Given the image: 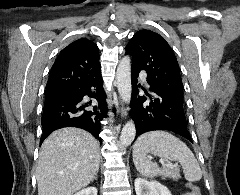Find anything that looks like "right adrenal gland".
<instances>
[{"mask_svg":"<svg viewBox=\"0 0 240 195\" xmlns=\"http://www.w3.org/2000/svg\"><path fill=\"white\" fill-rule=\"evenodd\" d=\"M97 173H98V171H97ZM97 173H95V175H94L92 181H94V179H97Z\"/></svg>","mask_w":240,"mask_h":195,"instance_id":"right-adrenal-gland-1","label":"right adrenal gland"}]
</instances>
